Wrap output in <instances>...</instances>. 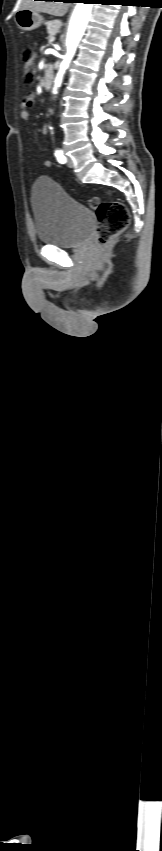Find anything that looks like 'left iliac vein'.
Wrapping results in <instances>:
<instances>
[{
	"label": "left iliac vein",
	"instance_id": "left-iliac-vein-1",
	"mask_svg": "<svg viewBox=\"0 0 162 851\" xmlns=\"http://www.w3.org/2000/svg\"><path fill=\"white\" fill-rule=\"evenodd\" d=\"M67 166L70 167V168H73V166H74L73 161L70 157L67 158Z\"/></svg>",
	"mask_w": 162,
	"mask_h": 851
}]
</instances>
